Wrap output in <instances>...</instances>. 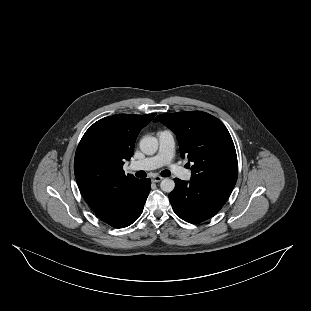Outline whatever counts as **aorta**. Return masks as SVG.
I'll list each match as a JSON object with an SVG mask.
<instances>
[{
	"mask_svg": "<svg viewBox=\"0 0 311 311\" xmlns=\"http://www.w3.org/2000/svg\"><path fill=\"white\" fill-rule=\"evenodd\" d=\"M158 145L157 138L151 135L143 136L139 143L140 150L146 155L154 154L158 150ZM160 187L162 191L170 193L175 188V182L172 179L165 178L161 181Z\"/></svg>",
	"mask_w": 311,
	"mask_h": 311,
	"instance_id": "762f6f07",
	"label": "aorta"
}]
</instances>
